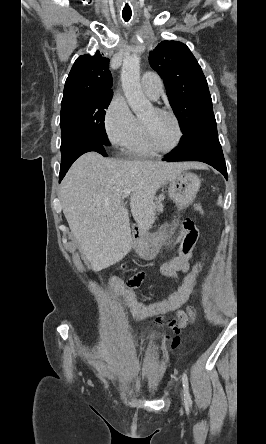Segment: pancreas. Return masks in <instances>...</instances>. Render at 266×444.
<instances>
[{
    "mask_svg": "<svg viewBox=\"0 0 266 444\" xmlns=\"http://www.w3.org/2000/svg\"><path fill=\"white\" fill-rule=\"evenodd\" d=\"M163 200H164V196L162 195L156 201L155 208H157L158 212H163V204H162Z\"/></svg>",
    "mask_w": 266,
    "mask_h": 444,
    "instance_id": "obj_1",
    "label": "pancreas"
}]
</instances>
